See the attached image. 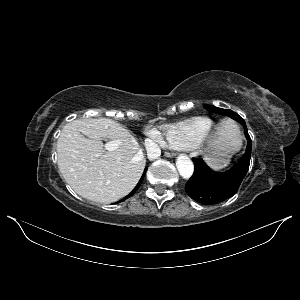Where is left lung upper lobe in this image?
<instances>
[{
  "label": "left lung upper lobe",
  "mask_w": 300,
  "mask_h": 300,
  "mask_svg": "<svg viewBox=\"0 0 300 300\" xmlns=\"http://www.w3.org/2000/svg\"><path fill=\"white\" fill-rule=\"evenodd\" d=\"M205 108L208 111L217 113V114H223V115H227L233 119H235L236 121L240 122L243 126H245V121L235 112H233L232 110H227V109H222V108H218L212 105H205Z\"/></svg>",
  "instance_id": "1"
}]
</instances>
